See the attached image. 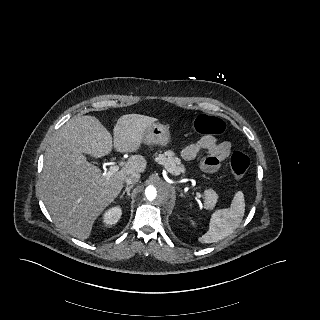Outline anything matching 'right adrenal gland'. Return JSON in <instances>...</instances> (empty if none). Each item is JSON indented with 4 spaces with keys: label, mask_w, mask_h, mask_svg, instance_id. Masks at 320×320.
Instances as JSON below:
<instances>
[{
    "label": "right adrenal gland",
    "mask_w": 320,
    "mask_h": 320,
    "mask_svg": "<svg viewBox=\"0 0 320 320\" xmlns=\"http://www.w3.org/2000/svg\"><path fill=\"white\" fill-rule=\"evenodd\" d=\"M134 187V185L127 186L126 189L123 191V193L120 195V199L123 198L125 193H127L128 197H130V190Z\"/></svg>",
    "instance_id": "1"
}]
</instances>
